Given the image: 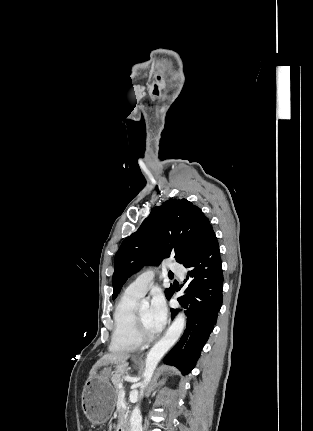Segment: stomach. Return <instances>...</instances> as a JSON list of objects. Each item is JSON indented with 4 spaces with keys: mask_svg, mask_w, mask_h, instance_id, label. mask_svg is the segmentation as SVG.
Instances as JSON below:
<instances>
[{
    "mask_svg": "<svg viewBox=\"0 0 313 431\" xmlns=\"http://www.w3.org/2000/svg\"><path fill=\"white\" fill-rule=\"evenodd\" d=\"M134 362L139 364L136 360ZM111 375V368H104L84 385L82 408L92 424L105 423L114 410L116 391L109 380Z\"/></svg>",
    "mask_w": 313,
    "mask_h": 431,
    "instance_id": "1",
    "label": "stomach"
}]
</instances>
